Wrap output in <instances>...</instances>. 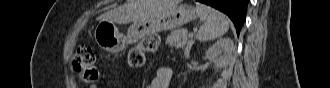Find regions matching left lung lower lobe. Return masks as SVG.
Masks as SVG:
<instances>
[{
	"instance_id": "obj_1",
	"label": "left lung lower lobe",
	"mask_w": 330,
	"mask_h": 88,
	"mask_svg": "<svg viewBox=\"0 0 330 88\" xmlns=\"http://www.w3.org/2000/svg\"><path fill=\"white\" fill-rule=\"evenodd\" d=\"M224 12L232 20L239 36L246 18L249 0H196Z\"/></svg>"
}]
</instances>
